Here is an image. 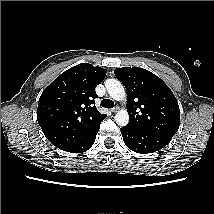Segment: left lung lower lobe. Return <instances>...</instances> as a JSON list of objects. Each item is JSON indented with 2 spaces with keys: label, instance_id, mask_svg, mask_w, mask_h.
<instances>
[{
  "label": "left lung lower lobe",
  "instance_id": "1",
  "mask_svg": "<svg viewBox=\"0 0 214 214\" xmlns=\"http://www.w3.org/2000/svg\"><path fill=\"white\" fill-rule=\"evenodd\" d=\"M125 145L136 153L147 154L165 147L172 138L128 126L121 128Z\"/></svg>",
  "mask_w": 214,
  "mask_h": 214
}]
</instances>
